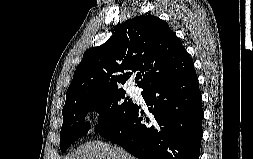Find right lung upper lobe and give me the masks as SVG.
Here are the masks:
<instances>
[{
    "instance_id": "cb5924a9",
    "label": "right lung upper lobe",
    "mask_w": 253,
    "mask_h": 159,
    "mask_svg": "<svg viewBox=\"0 0 253 159\" xmlns=\"http://www.w3.org/2000/svg\"><path fill=\"white\" fill-rule=\"evenodd\" d=\"M192 68L189 54L169 25L156 16L141 15L122 23L103 45L84 53L67 89L65 104L123 90L121 84L137 70L141 72L135 81L145 90ZM127 70L130 72L125 73Z\"/></svg>"
}]
</instances>
